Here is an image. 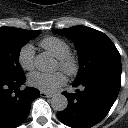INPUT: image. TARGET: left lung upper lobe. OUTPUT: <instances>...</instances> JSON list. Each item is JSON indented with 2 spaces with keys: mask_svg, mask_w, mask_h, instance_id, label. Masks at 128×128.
Listing matches in <instances>:
<instances>
[{
  "mask_svg": "<svg viewBox=\"0 0 128 128\" xmlns=\"http://www.w3.org/2000/svg\"><path fill=\"white\" fill-rule=\"evenodd\" d=\"M74 41L80 68L75 81H80L101 68L121 69V59L113 42L102 32L85 26L53 30Z\"/></svg>",
  "mask_w": 128,
  "mask_h": 128,
  "instance_id": "obj_1",
  "label": "left lung upper lobe"
}]
</instances>
